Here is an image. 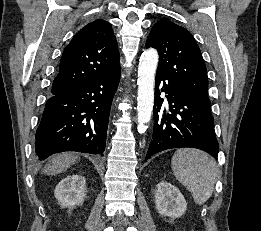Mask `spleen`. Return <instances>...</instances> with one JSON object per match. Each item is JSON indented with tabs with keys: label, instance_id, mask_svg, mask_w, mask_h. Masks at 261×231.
<instances>
[{
	"label": "spleen",
	"instance_id": "obj_1",
	"mask_svg": "<svg viewBox=\"0 0 261 231\" xmlns=\"http://www.w3.org/2000/svg\"><path fill=\"white\" fill-rule=\"evenodd\" d=\"M175 177L191 193L196 204L206 202L214 191L217 165L213 158L195 149H180L172 157Z\"/></svg>",
	"mask_w": 261,
	"mask_h": 231
}]
</instances>
